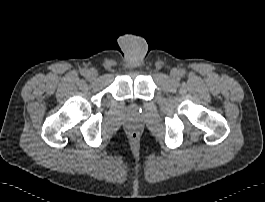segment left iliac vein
<instances>
[{"mask_svg":"<svg viewBox=\"0 0 265 202\" xmlns=\"http://www.w3.org/2000/svg\"><path fill=\"white\" fill-rule=\"evenodd\" d=\"M170 76H171L172 79H174V78L176 77V72H175V71H172V72L170 73Z\"/></svg>","mask_w":265,"mask_h":202,"instance_id":"1","label":"left iliac vein"}]
</instances>
